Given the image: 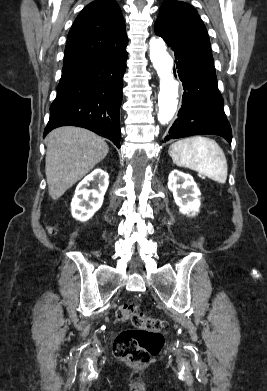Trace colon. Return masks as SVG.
Returning a JSON list of instances; mask_svg holds the SVG:
<instances>
[{"mask_svg":"<svg viewBox=\"0 0 267 391\" xmlns=\"http://www.w3.org/2000/svg\"><path fill=\"white\" fill-rule=\"evenodd\" d=\"M53 234L54 230L49 229ZM117 323L130 320L135 329L118 334L113 344L114 354L134 364H145L159 354L164 346L167 324L164 320L151 317L140 311L136 305L122 304L115 313Z\"/></svg>","mask_w":267,"mask_h":391,"instance_id":"5ec220e1","label":"colon"}]
</instances>
